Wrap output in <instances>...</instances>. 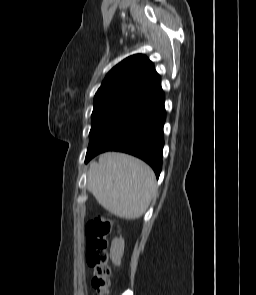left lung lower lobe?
<instances>
[{"instance_id": "obj_1", "label": "left lung lower lobe", "mask_w": 256, "mask_h": 295, "mask_svg": "<svg viewBox=\"0 0 256 295\" xmlns=\"http://www.w3.org/2000/svg\"><path fill=\"white\" fill-rule=\"evenodd\" d=\"M164 93L143 105L88 147L85 162L106 151H120L147 162L158 178L162 169Z\"/></svg>"}]
</instances>
